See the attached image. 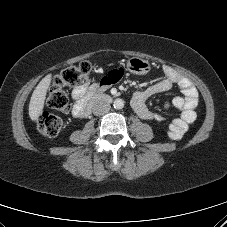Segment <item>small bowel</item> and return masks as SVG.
<instances>
[{
    "label": "small bowel",
    "mask_w": 227,
    "mask_h": 227,
    "mask_svg": "<svg viewBox=\"0 0 227 227\" xmlns=\"http://www.w3.org/2000/svg\"><path fill=\"white\" fill-rule=\"evenodd\" d=\"M164 78L143 90L136 91L131 100L134 112L143 120H164L165 116L151 111L146 100L155 95L168 91L176 84L183 96L173 98L171 103L165 102L162 108L167 110L171 106L179 111V117L174 119L169 125L168 137L172 140L181 139L188 130L189 125L196 119V108L199 104L198 92L192 81L178 72L171 66H163ZM123 75L122 69H112L99 82L84 83L74 88L72 97L75 100L72 114L82 117V109L86 99L93 93L102 92L116 83Z\"/></svg>",
    "instance_id": "obj_1"
}]
</instances>
